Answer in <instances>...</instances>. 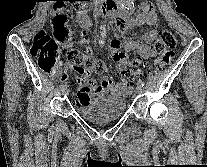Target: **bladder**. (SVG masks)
<instances>
[{
    "label": "bladder",
    "instance_id": "1",
    "mask_svg": "<svg viewBox=\"0 0 207 167\" xmlns=\"http://www.w3.org/2000/svg\"><path fill=\"white\" fill-rule=\"evenodd\" d=\"M76 111L83 119L93 123H108L118 120L126 111V101L121 96H104L79 104Z\"/></svg>",
    "mask_w": 207,
    "mask_h": 167
}]
</instances>
